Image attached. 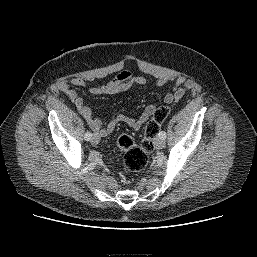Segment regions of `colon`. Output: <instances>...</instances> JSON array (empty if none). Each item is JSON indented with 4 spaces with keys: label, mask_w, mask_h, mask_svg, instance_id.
Returning a JSON list of instances; mask_svg holds the SVG:
<instances>
[{
    "label": "colon",
    "mask_w": 257,
    "mask_h": 257,
    "mask_svg": "<svg viewBox=\"0 0 257 257\" xmlns=\"http://www.w3.org/2000/svg\"><path fill=\"white\" fill-rule=\"evenodd\" d=\"M169 114L166 106L155 109L151 119L145 126V138L142 146L134 141L130 134H122L117 140V147L124 152V165L133 173L142 171L147 165L148 153L153 148V139Z\"/></svg>",
    "instance_id": "1"
}]
</instances>
